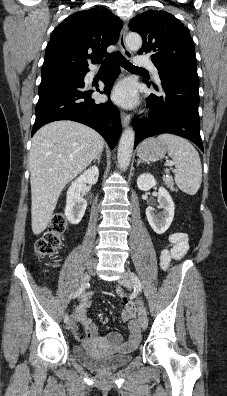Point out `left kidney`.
Returning <instances> with one entry per match:
<instances>
[{
  "label": "left kidney",
  "mask_w": 227,
  "mask_h": 396,
  "mask_svg": "<svg viewBox=\"0 0 227 396\" xmlns=\"http://www.w3.org/2000/svg\"><path fill=\"white\" fill-rule=\"evenodd\" d=\"M157 184L151 174H142L137 178V186L142 191H148ZM159 208L163 209L160 215L155 213V208L149 206L146 209L147 220L157 234H163L171 225L174 218V202L168 191L160 187L158 191Z\"/></svg>",
  "instance_id": "obj_1"
}]
</instances>
